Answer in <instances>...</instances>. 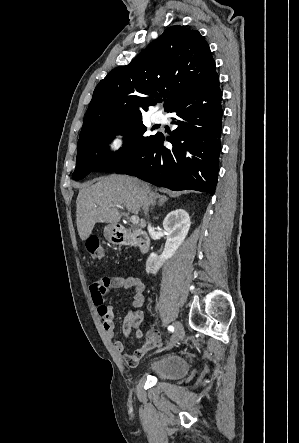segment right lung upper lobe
Returning a JSON list of instances; mask_svg holds the SVG:
<instances>
[{
	"label": "right lung upper lobe",
	"instance_id": "cb5924a9",
	"mask_svg": "<svg viewBox=\"0 0 299 443\" xmlns=\"http://www.w3.org/2000/svg\"><path fill=\"white\" fill-rule=\"evenodd\" d=\"M210 48L197 30L171 26L130 64L113 69L94 90L80 137L103 126L142 118L160 97L168 111L215 74ZM139 94L149 97H140Z\"/></svg>",
	"mask_w": 299,
	"mask_h": 443
}]
</instances>
